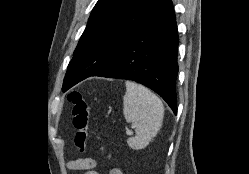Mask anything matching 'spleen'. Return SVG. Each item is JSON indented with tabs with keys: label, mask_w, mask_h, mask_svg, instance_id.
I'll return each mask as SVG.
<instances>
[{
	"label": "spleen",
	"mask_w": 249,
	"mask_h": 174,
	"mask_svg": "<svg viewBox=\"0 0 249 174\" xmlns=\"http://www.w3.org/2000/svg\"><path fill=\"white\" fill-rule=\"evenodd\" d=\"M123 113L127 122L136 126L134 137L127 140L132 149H143L159 132L164 117L161 100L146 87L126 81Z\"/></svg>",
	"instance_id": "1"
}]
</instances>
